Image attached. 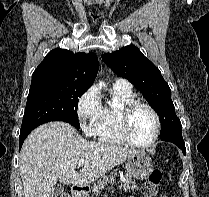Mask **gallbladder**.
I'll return each mask as SVG.
<instances>
[{"mask_svg":"<svg viewBox=\"0 0 209 197\" xmlns=\"http://www.w3.org/2000/svg\"><path fill=\"white\" fill-rule=\"evenodd\" d=\"M64 190V185L58 184L55 186L53 192H52V197H57L59 194H61Z\"/></svg>","mask_w":209,"mask_h":197,"instance_id":"gallbladder-1","label":"gallbladder"}]
</instances>
